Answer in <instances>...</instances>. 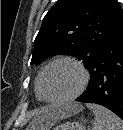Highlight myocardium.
Instances as JSON below:
<instances>
[{"instance_id":"f54148a6","label":"myocardium","mask_w":123,"mask_h":130,"mask_svg":"<svg viewBox=\"0 0 123 130\" xmlns=\"http://www.w3.org/2000/svg\"><path fill=\"white\" fill-rule=\"evenodd\" d=\"M59 62H69V63L75 65L79 69V71L81 72L82 79H81L80 86L72 95L65 97V98H61V99H51V98L46 96V93L44 90V77H45L46 71L52 65L59 63ZM88 82H89V72L81 61H79L78 59H76L72 56H59V57L54 58L50 62H48L41 69L40 76H39V93H40L41 99L46 101V102H49L52 104H64V103L71 102V101L75 100L76 98H78L86 89Z\"/></svg>"}]
</instances>
